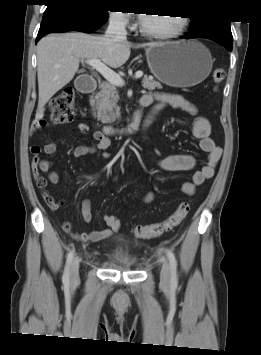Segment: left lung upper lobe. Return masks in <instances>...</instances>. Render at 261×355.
<instances>
[{
  "instance_id": "left-lung-upper-lobe-1",
  "label": "left lung upper lobe",
  "mask_w": 261,
  "mask_h": 355,
  "mask_svg": "<svg viewBox=\"0 0 261 355\" xmlns=\"http://www.w3.org/2000/svg\"><path fill=\"white\" fill-rule=\"evenodd\" d=\"M210 30H230V21L219 19L191 18L190 35H199Z\"/></svg>"
}]
</instances>
